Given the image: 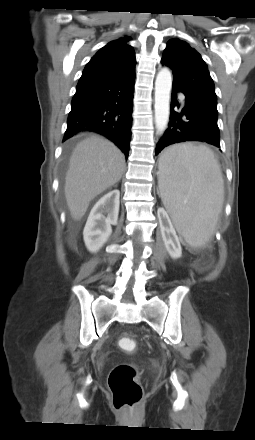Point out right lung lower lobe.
Returning a JSON list of instances; mask_svg holds the SVG:
<instances>
[{"instance_id":"98d812e1","label":"right lung lower lobe","mask_w":255,"mask_h":440,"mask_svg":"<svg viewBox=\"0 0 255 440\" xmlns=\"http://www.w3.org/2000/svg\"><path fill=\"white\" fill-rule=\"evenodd\" d=\"M135 68L108 81L77 89L63 141L81 131L98 132L129 154Z\"/></svg>"}]
</instances>
